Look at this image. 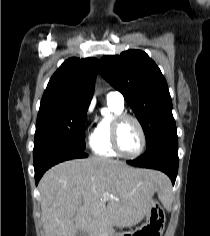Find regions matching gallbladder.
Here are the masks:
<instances>
[{
	"instance_id": "gallbladder-1",
	"label": "gallbladder",
	"mask_w": 210,
	"mask_h": 236,
	"mask_svg": "<svg viewBox=\"0 0 210 236\" xmlns=\"http://www.w3.org/2000/svg\"><path fill=\"white\" fill-rule=\"evenodd\" d=\"M76 236H88L83 230H79L76 233Z\"/></svg>"
}]
</instances>
